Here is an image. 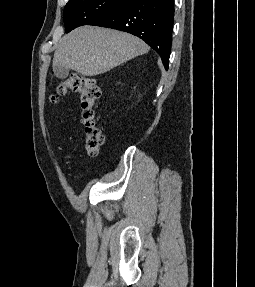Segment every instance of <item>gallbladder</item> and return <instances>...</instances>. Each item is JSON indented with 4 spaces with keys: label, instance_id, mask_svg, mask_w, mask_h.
Segmentation results:
<instances>
[{
    "label": "gallbladder",
    "instance_id": "1",
    "mask_svg": "<svg viewBox=\"0 0 255 287\" xmlns=\"http://www.w3.org/2000/svg\"><path fill=\"white\" fill-rule=\"evenodd\" d=\"M53 72L56 78H60V80H65L69 74V70L63 68V66H53Z\"/></svg>",
    "mask_w": 255,
    "mask_h": 287
}]
</instances>
